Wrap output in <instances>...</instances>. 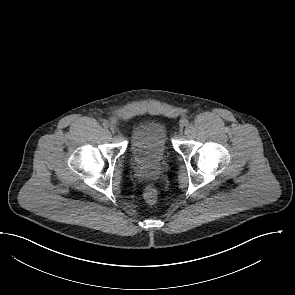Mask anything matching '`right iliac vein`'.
Returning <instances> with one entry per match:
<instances>
[{
  "mask_svg": "<svg viewBox=\"0 0 295 295\" xmlns=\"http://www.w3.org/2000/svg\"><path fill=\"white\" fill-rule=\"evenodd\" d=\"M110 130H111L112 132H114V131H115V127H114V126H111V127H110Z\"/></svg>",
  "mask_w": 295,
  "mask_h": 295,
  "instance_id": "1",
  "label": "right iliac vein"
}]
</instances>
